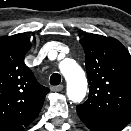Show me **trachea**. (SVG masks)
Wrapping results in <instances>:
<instances>
[{
    "mask_svg": "<svg viewBox=\"0 0 131 131\" xmlns=\"http://www.w3.org/2000/svg\"><path fill=\"white\" fill-rule=\"evenodd\" d=\"M61 82V76L58 73H54L50 77V84L51 85H59Z\"/></svg>",
    "mask_w": 131,
    "mask_h": 131,
    "instance_id": "1",
    "label": "trachea"
}]
</instances>
